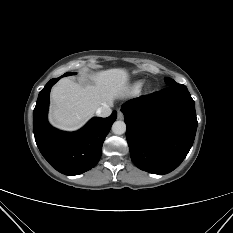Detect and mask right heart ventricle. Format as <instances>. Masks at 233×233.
<instances>
[{
	"instance_id": "e07e8e85",
	"label": "right heart ventricle",
	"mask_w": 233,
	"mask_h": 233,
	"mask_svg": "<svg viewBox=\"0 0 233 233\" xmlns=\"http://www.w3.org/2000/svg\"><path fill=\"white\" fill-rule=\"evenodd\" d=\"M141 86V82H137L135 85H134V90H138Z\"/></svg>"
}]
</instances>
